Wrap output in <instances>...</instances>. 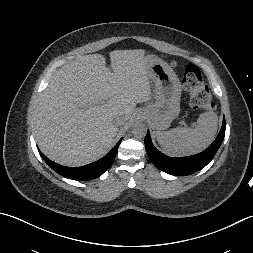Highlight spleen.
Instances as JSON below:
<instances>
[{
	"label": "spleen",
	"mask_w": 253,
	"mask_h": 253,
	"mask_svg": "<svg viewBox=\"0 0 253 253\" xmlns=\"http://www.w3.org/2000/svg\"><path fill=\"white\" fill-rule=\"evenodd\" d=\"M218 129V117L213 111L201 113L195 127H177L156 132L162 149L173 156H189L201 152L214 140Z\"/></svg>",
	"instance_id": "spleen-1"
}]
</instances>
